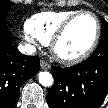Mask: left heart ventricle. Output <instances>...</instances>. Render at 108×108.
Returning a JSON list of instances; mask_svg holds the SVG:
<instances>
[{
  "mask_svg": "<svg viewBox=\"0 0 108 108\" xmlns=\"http://www.w3.org/2000/svg\"><path fill=\"white\" fill-rule=\"evenodd\" d=\"M95 33L94 19L88 15L81 16L67 30L58 45V51L64 56L79 55L90 46Z\"/></svg>",
  "mask_w": 108,
  "mask_h": 108,
  "instance_id": "left-heart-ventricle-1",
  "label": "left heart ventricle"
}]
</instances>
